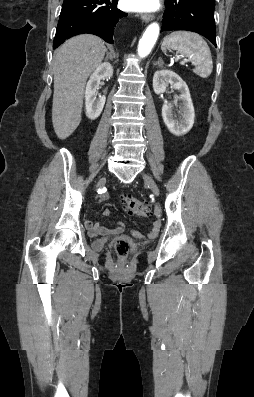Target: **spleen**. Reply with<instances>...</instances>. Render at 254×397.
<instances>
[{
    "label": "spleen",
    "mask_w": 254,
    "mask_h": 397,
    "mask_svg": "<svg viewBox=\"0 0 254 397\" xmlns=\"http://www.w3.org/2000/svg\"><path fill=\"white\" fill-rule=\"evenodd\" d=\"M166 50H176L187 57L195 65V73L207 78L213 70L211 51L206 41L197 33L189 31H174L167 35L161 45Z\"/></svg>",
    "instance_id": "spleen-1"
}]
</instances>
